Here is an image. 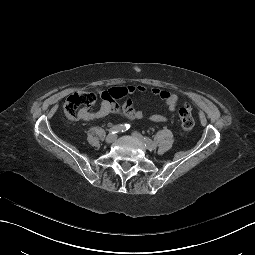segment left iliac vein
<instances>
[{"label":"left iliac vein","mask_w":255,"mask_h":255,"mask_svg":"<svg viewBox=\"0 0 255 255\" xmlns=\"http://www.w3.org/2000/svg\"><path fill=\"white\" fill-rule=\"evenodd\" d=\"M132 136H133L135 139H137L138 141H140L141 143H143V144L145 145V139H144V137H143L140 133H138V132H133V133H132ZM145 147H146L148 150H150V151H153V150L156 149V145H153V146H147V145H145Z\"/></svg>","instance_id":"1"}]
</instances>
